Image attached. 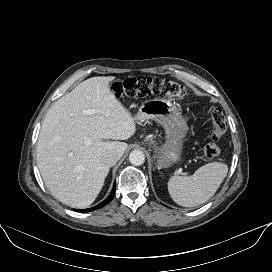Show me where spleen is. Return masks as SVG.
<instances>
[{
	"label": "spleen",
	"instance_id": "1",
	"mask_svg": "<svg viewBox=\"0 0 272 272\" xmlns=\"http://www.w3.org/2000/svg\"><path fill=\"white\" fill-rule=\"evenodd\" d=\"M227 173L226 164L211 162L201 166L190 176H172L168 182V191L178 205L195 207L213 197Z\"/></svg>",
	"mask_w": 272,
	"mask_h": 272
}]
</instances>
